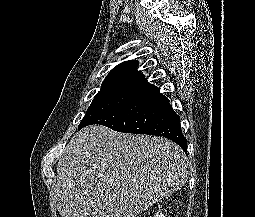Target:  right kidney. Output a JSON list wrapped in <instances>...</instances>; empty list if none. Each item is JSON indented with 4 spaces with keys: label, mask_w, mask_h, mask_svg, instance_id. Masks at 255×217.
<instances>
[{
    "label": "right kidney",
    "mask_w": 255,
    "mask_h": 217,
    "mask_svg": "<svg viewBox=\"0 0 255 217\" xmlns=\"http://www.w3.org/2000/svg\"><path fill=\"white\" fill-rule=\"evenodd\" d=\"M154 217H164V214L158 212V213L155 214Z\"/></svg>",
    "instance_id": "right-kidney-1"
}]
</instances>
